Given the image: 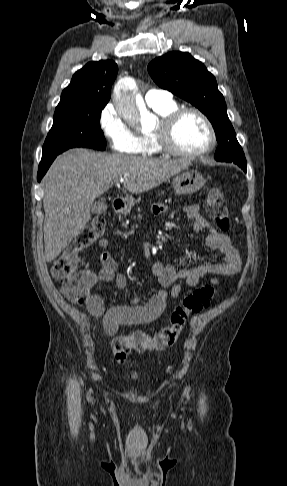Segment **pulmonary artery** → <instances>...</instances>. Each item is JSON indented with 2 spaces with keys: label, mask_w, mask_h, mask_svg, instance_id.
I'll list each match as a JSON object with an SVG mask.
<instances>
[{
  "label": "pulmonary artery",
  "mask_w": 287,
  "mask_h": 486,
  "mask_svg": "<svg viewBox=\"0 0 287 486\" xmlns=\"http://www.w3.org/2000/svg\"><path fill=\"white\" fill-rule=\"evenodd\" d=\"M145 100L149 106L163 105L173 101L170 92L160 89H150L145 95Z\"/></svg>",
  "instance_id": "1"
}]
</instances>
